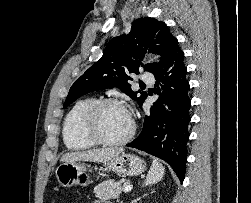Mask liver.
<instances>
[{"mask_svg": "<svg viewBox=\"0 0 251 203\" xmlns=\"http://www.w3.org/2000/svg\"><path fill=\"white\" fill-rule=\"evenodd\" d=\"M123 148H105V149H93L80 152H68L64 154L61 162H77V161H89L106 163L111 158L121 153Z\"/></svg>", "mask_w": 251, "mask_h": 203, "instance_id": "obj_1", "label": "liver"}]
</instances>
